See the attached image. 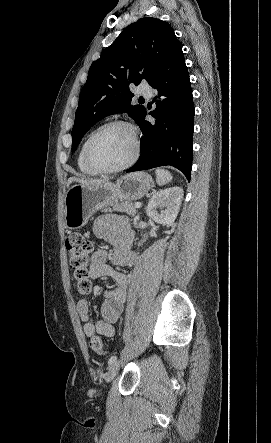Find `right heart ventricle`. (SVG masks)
Here are the masks:
<instances>
[{
  "instance_id": "obj_1",
  "label": "right heart ventricle",
  "mask_w": 271,
  "mask_h": 443,
  "mask_svg": "<svg viewBox=\"0 0 271 443\" xmlns=\"http://www.w3.org/2000/svg\"><path fill=\"white\" fill-rule=\"evenodd\" d=\"M98 128L93 129L90 133H88L85 138L83 139V141L81 142V145L78 149L77 152V157H76V165L79 169V171L86 175V176H97L99 173L96 172L95 170H93L92 168H90L87 163L85 162L84 159V150L86 147V144L88 142V140L90 139V137L93 135V133L97 130Z\"/></svg>"
}]
</instances>
